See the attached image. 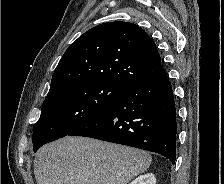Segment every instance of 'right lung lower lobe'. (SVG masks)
Returning <instances> with one entry per match:
<instances>
[{
    "mask_svg": "<svg viewBox=\"0 0 224 184\" xmlns=\"http://www.w3.org/2000/svg\"><path fill=\"white\" fill-rule=\"evenodd\" d=\"M176 108L167 76L128 86L103 112L69 134L128 145L176 159Z\"/></svg>",
    "mask_w": 224,
    "mask_h": 184,
    "instance_id": "98d812e1",
    "label": "right lung lower lobe"
}]
</instances>
